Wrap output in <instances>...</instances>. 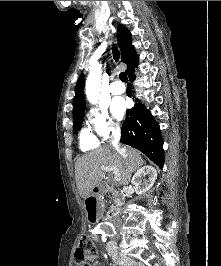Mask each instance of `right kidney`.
Returning a JSON list of instances; mask_svg holds the SVG:
<instances>
[{
    "mask_svg": "<svg viewBox=\"0 0 221 266\" xmlns=\"http://www.w3.org/2000/svg\"><path fill=\"white\" fill-rule=\"evenodd\" d=\"M157 171L154 167L146 165L140 168L132 178L134 189L137 193H145L155 183Z\"/></svg>",
    "mask_w": 221,
    "mask_h": 266,
    "instance_id": "ca27d5eb",
    "label": "right kidney"
}]
</instances>
